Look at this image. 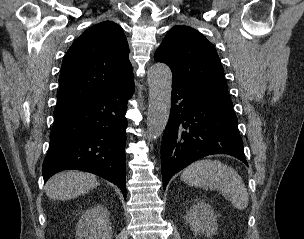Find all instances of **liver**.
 <instances>
[{
  "label": "liver",
  "mask_w": 304,
  "mask_h": 239,
  "mask_svg": "<svg viewBox=\"0 0 304 239\" xmlns=\"http://www.w3.org/2000/svg\"><path fill=\"white\" fill-rule=\"evenodd\" d=\"M97 185L95 175L69 170L51 177L45 185V192L52 200L64 201L85 194Z\"/></svg>",
  "instance_id": "liver-1"
}]
</instances>
